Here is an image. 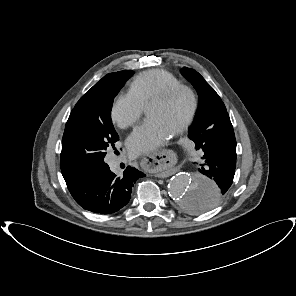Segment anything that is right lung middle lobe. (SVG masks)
I'll return each instance as SVG.
<instances>
[{"mask_svg":"<svg viewBox=\"0 0 296 296\" xmlns=\"http://www.w3.org/2000/svg\"><path fill=\"white\" fill-rule=\"evenodd\" d=\"M131 70L110 73L95 84L73 108L66 123L60 156L65 180L105 163L106 151L119 140L111 121L113 100Z\"/></svg>","mask_w":296,"mask_h":296,"instance_id":"right-lung-middle-lobe-1","label":"right lung middle lobe"}]
</instances>
